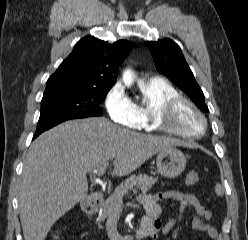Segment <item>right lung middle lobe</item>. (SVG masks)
Segmentation results:
<instances>
[{
    "label": "right lung middle lobe",
    "mask_w": 248,
    "mask_h": 240,
    "mask_svg": "<svg viewBox=\"0 0 248 240\" xmlns=\"http://www.w3.org/2000/svg\"><path fill=\"white\" fill-rule=\"evenodd\" d=\"M110 89L59 88L45 91L40 121L102 116L100 105Z\"/></svg>",
    "instance_id": "1"
}]
</instances>
